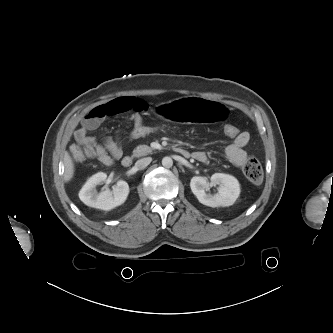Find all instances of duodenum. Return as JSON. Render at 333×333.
<instances>
[{
    "label": "duodenum",
    "instance_id": "1",
    "mask_svg": "<svg viewBox=\"0 0 333 333\" xmlns=\"http://www.w3.org/2000/svg\"><path fill=\"white\" fill-rule=\"evenodd\" d=\"M177 151H179L183 155H188L187 151L177 148ZM132 164V158L130 156H126L122 159V165L124 167H129Z\"/></svg>",
    "mask_w": 333,
    "mask_h": 333
}]
</instances>
